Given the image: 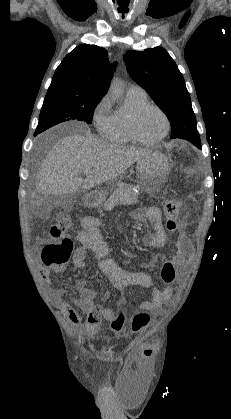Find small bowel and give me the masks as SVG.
I'll list each match as a JSON object with an SVG mask.
<instances>
[{
    "label": "small bowel",
    "instance_id": "c3829d8e",
    "mask_svg": "<svg viewBox=\"0 0 231 419\" xmlns=\"http://www.w3.org/2000/svg\"><path fill=\"white\" fill-rule=\"evenodd\" d=\"M133 218L138 221L148 222L152 231L147 232L143 237V243L146 247L159 249L165 243V232L161 222V211L157 207H150L145 210L136 211ZM101 221L92 216H86L81 219V232L77 236L80 246L75 250L72 263L76 268H82L86 265L87 251H92L96 257V267L106 276L114 288L124 292L129 287L152 288L151 277L145 272H130L119 267L113 260L108 258L110 246L104 239L100 231ZM177 251L174 256L175 265L181 266L188 262L192 253V244L186 235L185 225L182 224L178 230ZM155 258L153 261H155ZM152 261V262H153ZM61 270L62 268H56ZM43 281L50 285L52 277L49 268H44L41 272ZM80 297L74 299L72 303L63 301L62 290H55L56 301L60 305L63 313L67 316L74 327H78L81 322V316L76 308L87 314V322L84 332L88 336H95L100 328L102 316L110 321V317L115 313L112 309H104L100 318L97 319L92 314L95 306L96 291L87 286L86 282H79ZM174 286L167 287L164 290L152 289L151 299L139 304L138 312L150 315H158L163 311V306L172 299Z\"/></svg>",
    "mask_w": 231,
    "mask_h": 419
}]
</instances>
